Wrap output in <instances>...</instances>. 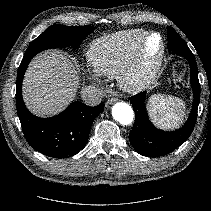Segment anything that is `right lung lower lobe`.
<instances>
[{
    "instance_id": "right-lung-lower-lobe-1",
    "label": "right lung lower lobe",
    "mask_w": 211,
    "mask_h": 211,
    "mask_svg": "<svg viewBox=\"0 0 211 211\" xmlns=\"http://www.w3.org/2000/svg\"><path fill=\"white\" fill-rule=\"evenodd\" d=\"M31 58L22 59L16 81V106L24 136L29 145L53 158H66L77 154L88 141L90 128L96 116L104 109L103 103L89 107L72 102L66 110L50 118L31 114L22 98V80Z\"/></svg>"
}]
</instances>
